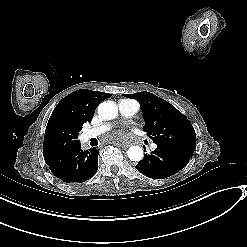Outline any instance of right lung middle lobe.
<instances>
[{"instance_id": "obj_1", "label": "right lung middle lobe", "mask_w": 247, "mask_h": 247, "mask_svg": "<svg viewBox=\"0 0 247 247\" xmlns=\"http://www.w3.org/2000/svg\"><path fill=\"white\" fill-rule=\"evenodd\" d=\"M78 135L72 136V137H67V138H62L60 140H57L54 142L48 150L44 151V155L46 154H53V153H58L61 151H64L71 147L72 145L78 143L79 141L77 140Z\"/></svg>"}]
</instances>
